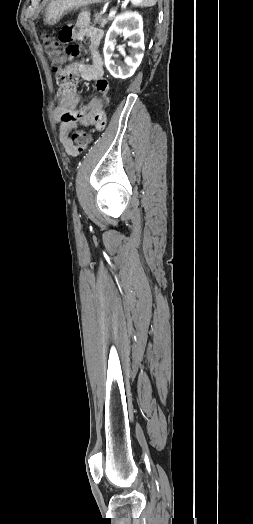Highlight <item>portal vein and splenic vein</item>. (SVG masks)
Wrapping results in <instances>:
<instances>
[{
	"mask_svg": "<svg viewBox=\"0 0 253 524\" xmlns=\"http://www.w3.org/2000/svg\"><path fill=\"white\" fill-rule=\"evenodd\" d=\"M128 3V0L122 3V7H125V5ZM117 11L116 9H111L109 12V18H112L116 15Z\"/></svg>",
	"mask_w": 253,
	"mask_h": 524,
	"instance_id": "portal-vein-and-splenic-vein-1",
	"label": "portal vein and splenic vein"
}]
</instances>
